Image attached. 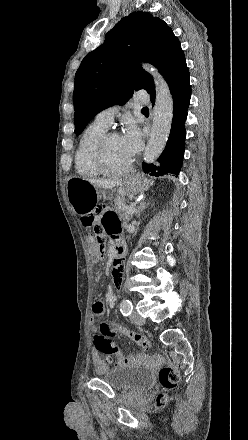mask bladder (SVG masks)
Returning <instances> with one entry per match:
<instances>
[{
  "label": "bladder",
  "instance_id": "bladder-1",
  "mask_svg": "<svg viewBox=\"0 0 248 440\" xmlns=\"http://www.w3.org/2000/svg\"><path fill=\"white\" fill-rule=\"evenodd\" d=\"M98 376L116 390H144L153 383V372L146 367L119 365L98 372Z\"/></svg>",
  "mask_w": 248,
  "mask_h": 440
}]
</instances>
